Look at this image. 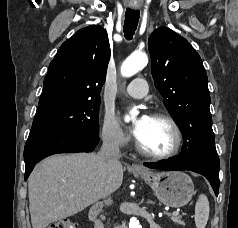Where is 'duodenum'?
Instances as JSON below:
<instances>
[{"instance_id":"410a0bca","label":"duodenum","mask_w":238,"mask_h":228,"mask_svg":"<svg viewBox=\"0 0 238 228\" xmlns=\"http://www.w3.org/2000/svg\"><path fill=\"white\" fill-rule=\"evenodd\" d=\"M102 211L101 204L93 205L89 210V219L94 222L95 228H104L103 223L98 219L99 214ZM118 228H127V225H122Z\"/></svg>"}]
</instances>
